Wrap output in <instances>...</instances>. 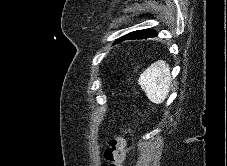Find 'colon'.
<instances>
[{
	"instance_id": "5ec220e1",
	"label": "colon",
	"mask_w": 227,
	"mask_h": 166,
	"mask_svg": "<svg viewBox=\"0 0 227 166\" xmlns=\"http://www.w3.org/2000/svg\"><path fill=\"white\" fill-rule=\"evenodd\" d=\"M125 154L124 139L122 137L111 138L104 153L108 166H122Z\"/></svg>"
}]
</instances>
